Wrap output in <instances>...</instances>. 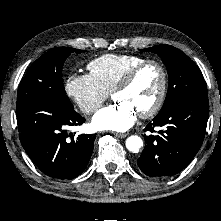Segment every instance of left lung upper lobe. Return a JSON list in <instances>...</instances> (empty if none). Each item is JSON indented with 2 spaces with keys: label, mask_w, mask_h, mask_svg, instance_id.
<instances>
[{
  "label": "left lung upper lobe",
  "mask_w": 221,
  "mask_h": 221,
  "mask_svg": "<svg viewBox=\"0 0 221 221\" xmlns=\"http://www.w3.org/2000/svg\"><path fill=\"white\" fill-rule=\"evenodd\" d=\"M141 51L158 54L167 67L169 88L164 105L158 115L166 113L189 98L208 95L200 69L181 50L161 44L141 49Z\"/></svg>",
  "instance_id": "obj_1"
}]
</instances>
